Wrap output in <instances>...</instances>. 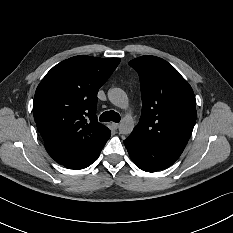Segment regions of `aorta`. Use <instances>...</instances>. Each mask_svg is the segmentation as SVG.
Segmentation results:
<instances>
[{"instance_id": "1", "label": "aorta", "mask_w": 233, "mask_h": 233, "mask_svg": "<svg viewBox=\"0 0 233 233\" xmlns=\"http://www.w3.org/2000/svg\"><path fill=\"white\" fill-rule=\"evenodd\" d=\"M109 101L117 107L127 108L128 97L127 94L120 88H112L108 91ZM134 128V120L131 115H127L121 119L119 124V132L121 134H130Z\"/></svg>"}]
</instances>
